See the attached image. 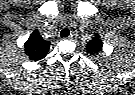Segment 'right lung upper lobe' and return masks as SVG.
I'll use <instances>...</instances> for the list:
<instances>
[{
    "mask_svg": "<svg viewBox=\"0 0 135 95\" xmlns=\"http://www.w3.org/2000/svg\"><path fill=\"white\" fill-rule=\"evenodd\" d=\"M50 49V42L43 39L37 30H34L24 44L25 54L31 61L43 59Z\"/></svg>",
    "mask_w": 135,
    "mask_h": 95,
    "instance_id": "right-lung-upper-lobe-1",
    "label": "right lung upper lobe"
}]
</instances>
